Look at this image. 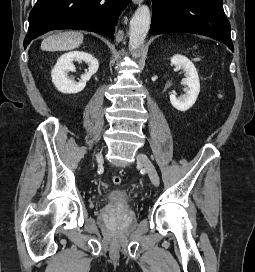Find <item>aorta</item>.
Masks as SVG:
<instances>
[{"mask_svg":"<svg viewBox=\"0 0 255 272\" xmlns=\"http://www.w3.org/2000/svg\"><path fill=\"white\" fill-rule=\"evenodd\" d=\"M150 22L151 14L149 7L147 5L139 6L130 21L129 27V49L133 56L143 46Z\"/></svg>","mask_w":255,"mask_h":272,"instance_id":"obj_1","label":"aorta"}]
</instances>
